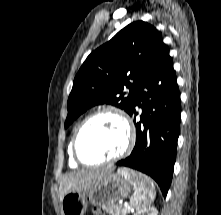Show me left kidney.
Listing matches in <instances>:
<instances>
[{"label": "left kidney", "mask_w": 221, "mask_h": 215, "mask_svg": "<svg viewBox=\"0 0 221 215\" xmlns=\"http://www.w3.org/2000/svg\"><path fill=\"white\" fill-rule=\"evenodd\" d=\"M158 211L156 208L154 207H149L143 210L138 211L136 214L134 215H157Z\"/></svg>", "instance_id": "obj_1"}]
</instances>
